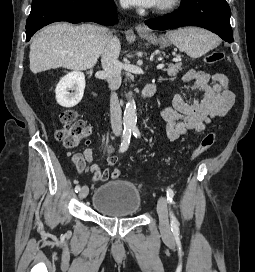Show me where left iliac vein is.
Returning <instances> with one entry per match:
<instances>
[{"instance_id":"obj_1","label":"left iliac vein","mask_w":255,"mask_h":272,"mask_svg":"<svg viewBox=\"0 0 255 272\" xmlns=\"http://www.w3.org/2000/svg\"><path fill=\"white\" fill-rule=\"evenodd\" d=\"M157 212L159 215V228L161 233L165 237H171V230L169 225L168 211H167V200L164 196L160 197L157 204Z\"/></svg>"}]
</instances>
